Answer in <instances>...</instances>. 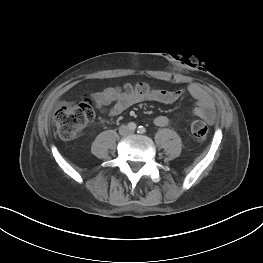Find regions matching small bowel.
I'll return each mask as SVG.
<instances>
[{"label": "small bowel", "instance_id": "c3829d8e", "mask_svg": "<svg viewBox=\"0 0 263 263\" xmlns=\"http://www.w3.org/2000/svg\"><path fill=\"white\" fill-rule=\"evenodd\" d=\"M186 91L196 100V106L192 113L212 123L215 120L216 113L214 102L209 93L199 84L191 83ZM185 93L184 89L165 90L155 89L144 96H139L126 91H118L114 88H106L93 95L94 101L98 108L103 109L113 103L109 110V114L117 116L130 106L142 101H155L163 104H171L180 99ZM171 123V119L165 115H158L154 118V124L159 127L167 126Z\"/></svg>", "mask_w": 263, "mask_h": 263}]
</instances>
